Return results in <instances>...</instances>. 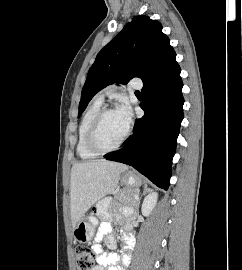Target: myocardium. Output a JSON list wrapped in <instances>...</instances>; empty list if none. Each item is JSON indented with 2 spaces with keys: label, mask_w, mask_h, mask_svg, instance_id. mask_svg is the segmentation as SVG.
Wrapping results in <instances>:
<instances>
[{
  "label": "myocardium",
  "mask_w": 242,
  "mask_h": 270,
  "mask_svg": "<svg viewBox=\"0 0 242 270\" xmlns=\"http://www.w3.org/2000/svg\"><path fill=\"white\" fill-rule=\"evenodd\" d=\"M116 111L117 110L114 108H103L100 110V112L96 115V117L92 121V123L88 129L87 136H86V145L92 152H94L96 154H106V153L116 151L127 140L129 133H130L129 127L126 129L123 137L114 146L105 148V147L100 146L97 143V133H98V130L100 128V125H101L103 119L108 114H110L112 112H116Z\"/></svg>",
  "instance_id": "1"
}]
</instances>
